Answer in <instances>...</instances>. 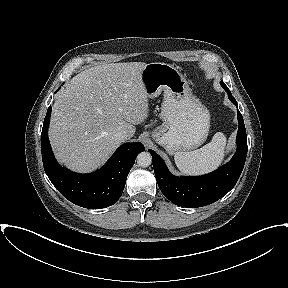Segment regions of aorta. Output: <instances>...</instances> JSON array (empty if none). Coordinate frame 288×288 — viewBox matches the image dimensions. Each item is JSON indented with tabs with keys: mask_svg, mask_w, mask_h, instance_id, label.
Wrapping results in <instances>:
<instances>
[{
	"mask_svg": "<svg viewBox=\"0 0 288 288\" xmlns=\"http://www.w3.org/2000/svg\"><path fill=\"white\" fill-rule=\"evenodd\" d=\"M136 160H137V164L140 167L145 168L151 164L152 157H151V154L149 152H141L140 154H138Z\"/></svg>",
	"mask_w": 288,
	"mask_h": 288,
	"instance_id": "aorta-1",
	"label": "aorta"
}]
</instances>
